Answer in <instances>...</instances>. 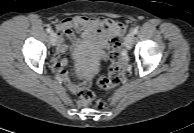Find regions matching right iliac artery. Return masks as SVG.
Instances as JSON below:
<instances>
[{
	"mask_svg": "<svg viewBox=\"0 0 194 133\" xmlns=\"http://www.w3.org/2000/svg\"><path fill=\"white\" fill-rule=\"evenodd\" d=\"M46 30H47L48 33H51L52 32V29H51L50 26H48Z\"/></svg>",
	"mask_w": 194,
	"mask_h": 133,
	"instance_id": "right-iliac-artery-1",
	"label": "right iliac artery"
}]
</instances>
